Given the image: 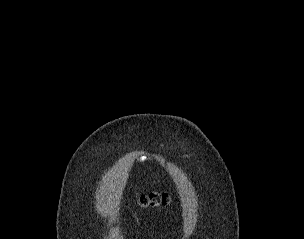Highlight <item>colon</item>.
Listing matches in <instances>:
<instances>
[{
  "mask_svg": "<svg viewBox=\"0 0 304 239\" xmlns=\"http://www.w3.org/2000/svg\"><path fill=\"white\" fill-rule=\"evenodd\" d=\"M169 196L164 193H149L140 196L136 200V204L143 209H149V208H157L161 206H165L169 203Z\"/></svg>",
  "mask_w": 304,
  "mask_h": 239,
  "instance_id": "colon-1",
  "label": "colon"
}]
</instances>
